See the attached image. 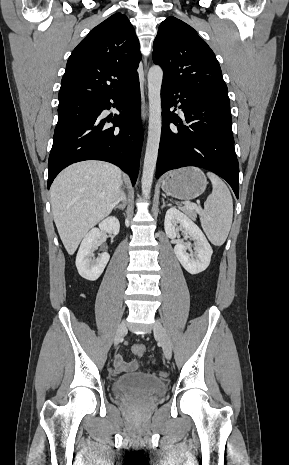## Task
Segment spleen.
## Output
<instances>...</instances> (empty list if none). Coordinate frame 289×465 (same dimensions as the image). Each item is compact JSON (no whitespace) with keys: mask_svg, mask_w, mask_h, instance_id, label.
Listing matches in <instances>:
<instances>
[{"mask_svg":"<svg viewBox=\"0 0 289 465\" xmlns=\"http://www.w3.org/2000/svg\"><path fill=\"white\" fill-rule=\"evenodd\" d=\"M207 176L213 190L204 203V210L200 212V221L210 242L221 246L232 225L233 200L228 187L218 176L213 173H207Z\"/></svg>","mask_w":289,"mask_h":465,"instance_id":"3e777b00","label":"spleen"}]
</instances>
